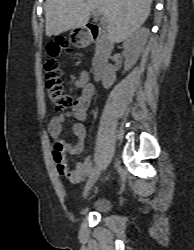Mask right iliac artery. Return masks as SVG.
I'll return each instance as SVG.
<instances>
[{"label": "right iliac artery", "instance_id": "1", "mask_svg": "<svg viewBox=\"0 0 194 250\" xmlns=\"http://www.w3.org/2000/svg\"><path fill=\"white\" fill-rule=\"evenodd\" d=\"M94 171V168H90V170L88 171V174H87V176H91V174H92V172Z\"/></svg>", "mask_w": 194, "mask_h": 250}]
</instances>
